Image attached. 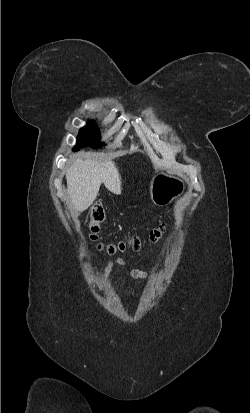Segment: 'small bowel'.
<instances>
[{
	"label": "small bowel",
	"mask_w": 250,
	"mask_h": 413,
	"mask_svg": "<svg viewBox=\"0 0 250 413\" xmlns=\"http://www.w3.org/2000/svg\"><path fill=\"white\" fill-rule=\"evenodd\" d=\"M115 264L125 266V260L123 258H117L115 261L108 262L107 266L105 267L106 277L109 276ZM129 274L134 279H145L148 276V273L146 271L135 268L129 269Z\"/></svg>",
	"instance_id": "1"
}]
</instances>
